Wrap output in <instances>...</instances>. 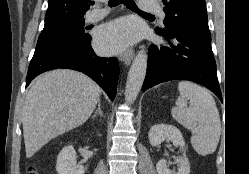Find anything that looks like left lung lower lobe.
I'll list each match as a JSON object with an SVG mask.
<instances>
[{"mask_svg": "<svg viewBox=\"0 0 249 174\" xmlns=\"http://www.w3.org/2000/svg\"><path fill=\"white\" fill-rule=\"evenodd\" d=\"M168 46L151 44L142 90L169 80H189L210 89L222 101L211 35L184 33L166 36L157 31Z\"/></svg>", "mask_w": 249, "mask_h": 174, "instance_id": "obj_1", "label": "left lung lower lobe"}]
</instances>
